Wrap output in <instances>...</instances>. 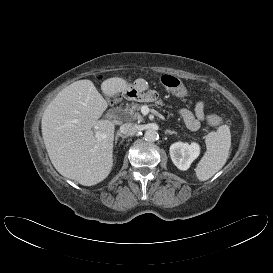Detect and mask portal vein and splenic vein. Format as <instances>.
<instances>
[{
  "instance_id": "1",
  "label": "portal vein and splenic vein",
  "mask_w": 273,
  "mask_h": 273,
  "mask_svg": "<svg viewBox=\"0 0 273 273\" xmlns=\"http://www.w3.org/2000/svg\"><path fill=\"white\" fill-rule=\"evenodd\" d=\"M144 108V111H143V113L144 114H147L149 111H148V108L147 107H143ZM102 136H99V138H101Z\"/></svg>"
}]
</instances>
